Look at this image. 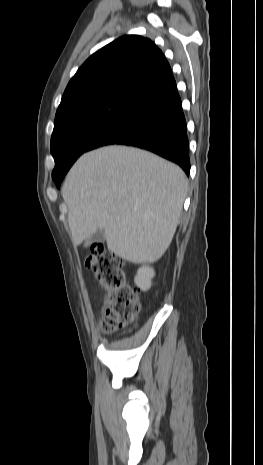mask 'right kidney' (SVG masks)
Instances as JSON below:
<instances>
[{
  "label": "right kidney",
  "instance_id": "right-kidney-1",
  "mask_svg": "<svg viewBox=\"0 0 263 465\" xmlns=\"http://www.w3.org/2000/svg\"><path fill=\"white\" fill-rule=\"evenodd\" d=\"M155 272L153 268L149 266H143L138 269L137 275L135 276V284L143 291L150 289L151 279L154 277Z\"/></svg>",
  "mask_w": 263,
  "mask_h": 465
}]
</instances>
